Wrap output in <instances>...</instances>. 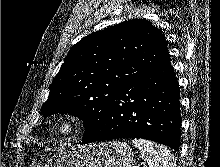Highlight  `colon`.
Returning <instances> with one entry per match:
<instances>
[{"label":"colon","instance_id":"obj_1","mask_svg":"<svg viewBox=\"0 0 220 167\" xmlns=\"http://www.w3.org/2000/svg\"><path fill=\"white\" fill-rule=\"evenodd\" d=\"M37 167H42L41 165H38Z\"/></svg>","mask_w":220,"mask_h":167}]
</instances>
